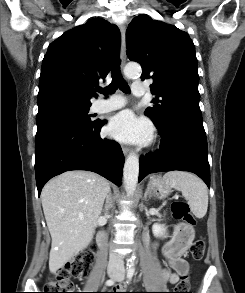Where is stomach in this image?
<instances>
[{"label": "stomach", "instance_id": "obj_1", "mask_svg": "<svg viewBox=\"0 0 245 293\" xmlns=\"http://www.w3.org/2000/svg\"><path fill=\"white\" fill-rule=\"evenodd\" d=\"M148 188L158 198H165L172 191V187L168 183H166L164 178H162L161 176L150 177ZM185 233L189 234L188 241H190L194 236L193 229L187 226L182 228V234Z\"/></svg>", "mask_w": 245, "mask_h": 293}]
</instances>
